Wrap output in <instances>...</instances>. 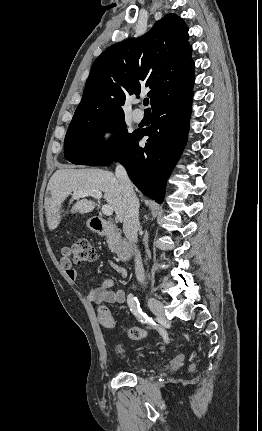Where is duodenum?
<instances>
[{
    "mask_svg": "<svg viewBox=\"0 0 262 431\" xmlns=\"http://www.w3.org/2000/svg\"><path fill=\"white\" fill-rule=\"evenodd\" d=\"M90 224L96 233L101 235H111L112 240L115 243L117 254L122 260L128 261L131 258L133 245L119 235L117 226L97 216L90 218Z\"/></svg>",
    "mask_w": 262,
    "mask_h": 431,
    "instance_id": "410a0bca",
    "label": "duodenum"
}]
</instances>
